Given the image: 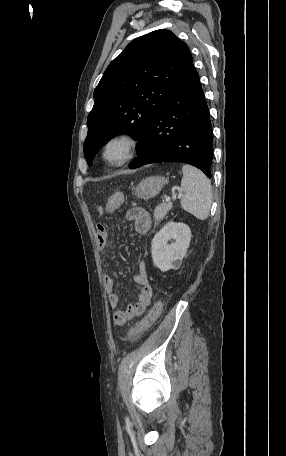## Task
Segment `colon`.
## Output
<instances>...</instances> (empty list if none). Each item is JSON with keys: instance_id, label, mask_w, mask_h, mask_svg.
Instances as JSON below:
<instances>
[{"instance_id": "obj_1", "label": "colon", "mask_w": 286, "mask_h": 456, "mask_svg": "<svg viewBox=\"0 0 286 456\" xmlns=\"http://www.w3.org/2000/svg\"><path fill=\"white\" fill-rule=\"evenodd\" d=\"M123 201H124L123 193H115L110 197L108 203L112 206L117 207L120 204H122ZM162 308H163V301L160 299L154 304V306L151 308L149 313L140 322H138L137 324H135L134 326L129 328V330L127 332V337L135 338V337H138V336L142 335L143 333H145L156 322V320L160 316Z\"/></svg>"}]
</instances>
